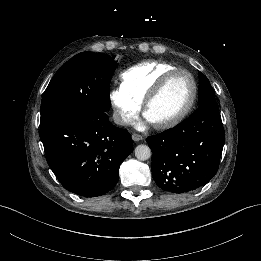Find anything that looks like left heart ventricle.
Instances as JSON below:
<instances>
[{
  "label": "left heart ventricle",
  "mask_w": 261,
  "mask_h": 261,
  "mask_svg": "<svg viewBox=\"0 0 261 261\" xmlns=\"http://www.w3.org/2000/svg\"><path fill=\"white\" fill-rule=\"evenodd\" d=\"M192 95V84L184 73L175 74L160 96L151 104L147 118L151 122H161L178 115L187 105Z\"/></svg>",
  "instance_id": "left-heart-ventricle-1"
}]
</instances>
